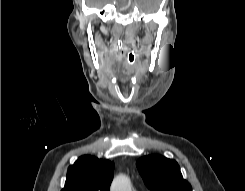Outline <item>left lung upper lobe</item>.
<instances>
[{
  "mask_svg": "<svg viewBox=\"0 0 245 191\" xmlns=\"http://www.w3.org/2000/svg\"><path fill=\"white\" fill-rule=\"evenodd\" d=\"M139 173L151 191H192L183 179L178 163L161 155L141 157L137 162Z\"/></svg>",
  "mask_w": 245,
  "mask_h": 191,
  "instance_id": "1",
  "label": "left lung upper lobe"
}]
</instances>
